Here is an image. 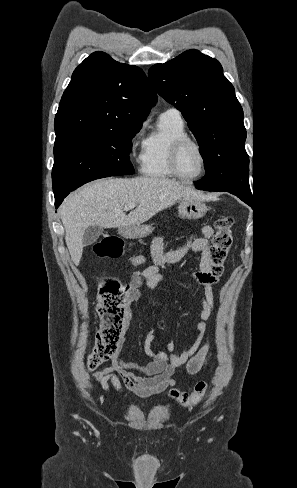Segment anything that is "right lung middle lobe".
Masks as SVG:
<instances>
[{"label":"right lung middle lobe","instance_id":"dd1d6c3e","mask_svg":"<svg viewBox=\"0 0 297 488\" xmlns=\"http://www.w3.org/2000/svg\"><path fill=\"white\" fill-rule=\"evenodd\" d=\"M141 126L56 136L52 171L55 199L103 177L134 174L131 141Z\"/></svg>","mask_w":297,"mask_h":488}]
</instances>
